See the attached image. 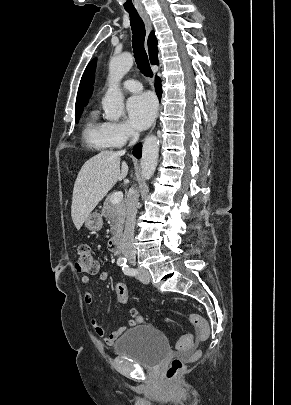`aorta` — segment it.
I'll list each match as a JSON object with an SVG mask.
<instances>
[{"instance_id": "762f6f07", "label": "aorta", "mask_w": 291, "mask_h": 405, "mask_svg": "<svg viewBox=\"0 0 291 405\" xmlns=\"http://www.w3.org/2000/svg\"><path fill=\"white\" fill-rule=\"evenodd\" d=\"M133 65V56L124 52L114 55L109 63V87L102 100L105 118L118 121L124 114L123 95L119 82ZM159 156V140L152 135L145 139L142 147L141 169L142 177L149 180L156 169Z\"/></svg>"}]
</instances>
